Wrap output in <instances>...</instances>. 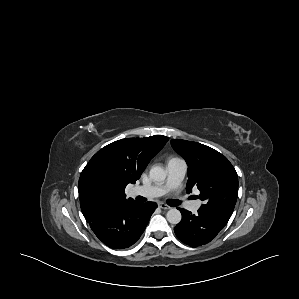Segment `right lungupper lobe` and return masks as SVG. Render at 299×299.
I'll return each instance as SVG.
<instances>
[{
  "mask_svg": "<svg viewBox=\"0 0 299 299\" xmlns=\"http://www.w3.org/2000/svg\"><path fill=\"white\" fill-rule=\"evenodd\" d=\"M168 139L161 135L127 138L100 149L87 163L79 179L82 213L91 208H109L126 202V185L140 178Z\"/></svg>",
  "mask_w": 299,
  "mask_h": 299,
  "instance_id": "right-lung-upper-lobe-1",
  "label": "right lung upper lobe"
}]
</instances>
